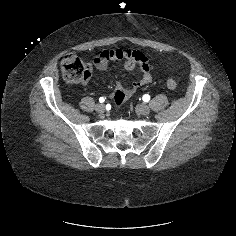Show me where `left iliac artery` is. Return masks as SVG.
Here are the masks:
<instances>
[{"instance_id": "left-iliac-artery-1", "label": "left iliac artery", "mask_w": 236, "mask_h": 236, "mask_svg": "<svg viewBox=\"0 0 236 236\" xmlns=\"http://www.w3.org/2000/svg\"><path fill=\"white\" fill-rule=\"evenodd\" d=\"M143 100H144L145 102H148V101L150 100V96H149L148 94H145V95L143 96Z\"/></svg>"}]
</instances>
